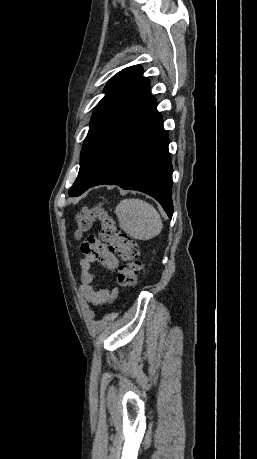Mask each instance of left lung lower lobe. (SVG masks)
<instances>
[{"instance_id": "obj_1", "label": "left lung lower lobe", "mask_w": 257, "mask_h": 459, "mask_svg": "<svg viewBox=\"0 0 257 459\" xmlns=\"http://www.w3.org/2000/svg\"><path fill=\"white\" fill-rule=\"evenodd\" d=\"M156 106L147 87L131 109L107 132L100 167L90 187L109 184L144 192L155 198L171 218L169 139Z\"/></svg>"}]
</instances>
